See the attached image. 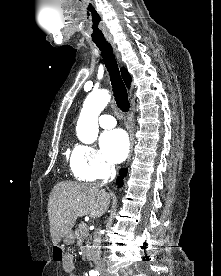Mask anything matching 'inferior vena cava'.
Returning <instances> with one entry per match:
<instances>
[{
    "label": "inferior vena cava",
    "instance_id": "602c4592",
    "mask_svg": "<svg viewBox=\"0 0 221 276\" xmlns=\"http://www.w3.org/2000/svg\"><path fill=\"white\" fill-rule=\"evenodd\" d=\"M105 175H106V178L113 179L116 175L115 167L113 165H107ZM100 244H101V233L98 232L94 236L93 247H92V252L90 256L91 260L94 262L96 267H100L102 264L100 260V254H101Z\"/></svg>",
    "mask_w": 221,
    "mask_h": 276
}]
</instances>
